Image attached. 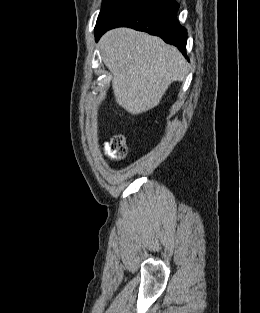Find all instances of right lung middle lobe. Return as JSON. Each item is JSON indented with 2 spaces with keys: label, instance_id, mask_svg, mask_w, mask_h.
Wrapping results in <instances>:
<instances>
[{
  "label": "right lung middle lobe",
  "instance_id": "right-lung-middle-lobe-1",
  "mask_svg": "<svg viewBox=\"0 0 260 313\" xmlns=\"http://www.w3.org/2000/svg\"><path fill=\"white\" fill-rule=\"evenodd\" d=\"M119 0H103L102 8L98 16L97 22L103 17V15L111 9Z\"/></svg>",
  "mask_w": 260,
  "mask_h": 313
}]
</instances>
